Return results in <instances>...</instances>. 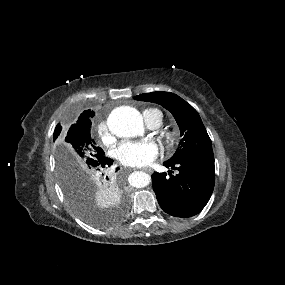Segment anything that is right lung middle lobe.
Segmentation results:
<instances>
[{
	"label": "right lung middle lobe",
	"instance_id": "obj_1",
	"mask_svg": "<svg viewBox=\"0 0 285 285\" xmlns=\"http://www.w3.org/2000/svg\"><path fill=\"white\" fill-rule=\"evenodd\" d=\"M91 122L72 125L61 134L58 124L54 139L58 136L57 170L64 195L73 211L85 222L95 227H106L107 221L95 205L97 192L116 190L114 179L105 178L100 167L104 156L90 134ZM118 216L113 217L116 221Z\"/></svg>",
	"mask_w": 285,
	"mask_h": 285
}]
</instances>
